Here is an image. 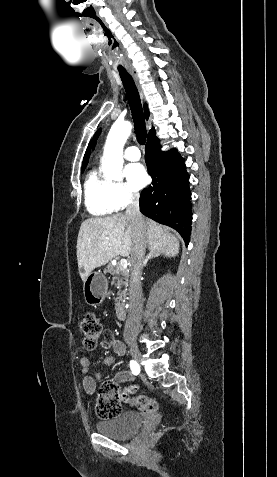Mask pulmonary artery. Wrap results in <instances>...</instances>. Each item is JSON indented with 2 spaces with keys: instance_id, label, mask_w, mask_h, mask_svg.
Returning <instances> with one entry per match:
<instances>
[{
  "instance_id": "obj_1",
  "label": "pulmonary artery",
  "mask_w": 277,
  "mask_h": 477,
  "mask_svg": "<svg viewBox=\"0 0 277 477\" xmlns=\"http://www.w3.org/2000/svg\"><path fill=\"white\" fill-rule=\"evenodd\" d=\"M124 156L126 159L131 160V161H137L140 159L141 154L140 151L137 147L135 146H130L127 147L124 151Z\"/></svg>"
}]
</instances>
